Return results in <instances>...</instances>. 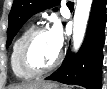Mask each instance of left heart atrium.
Segmentation results:
<instances>
[{
  "instance_id": "1",
  "label": "left heart atrium",
  "mask_w": 107,
  "mask_h": 89,
  "mask_svg": "<svg viewBox=\"0 0 107 89\" xmlns=\"http://www.w3.org/2000/svg\"><path fill=\"white\" fill-rule=\"evenodd\" d=\"M51 38L54 42V45L58 50L61 49L64 41L63 31L60 23L56 22L49 31Z\"/></svg>"
}]
</instances>
